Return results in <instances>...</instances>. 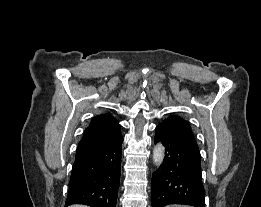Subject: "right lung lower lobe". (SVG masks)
Returning a JSON list of instances; mask_svg holds the SVG:
<instances>
[{
    "label": "right lung lower lobe",
    "instance_id": "right-lung-lower-lobe-1",
    "mask_svg": "<svg viewBox=\"0 0 261 207\" xmlns=\"http://www.w3.org/2000/svg\"><path fill=\"white\" fill-rule=\"evenodd\" d=\"M122 140L77 152L65 207H116L121 173Z\"/></svg>",
    "mask_w": 261,
    "mask_h": 207
}]
</instances>
